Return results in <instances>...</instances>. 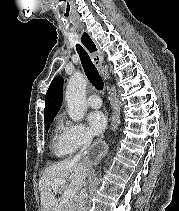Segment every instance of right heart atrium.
<instances>
[{"instance_id": "right-heart-atrium-1", "label": "right heart atrium", "mask_w": 179, "mask_h": 211, "mask_svg": "<svg viewBox=\"0 0 179 211\" xmlns=\"http://www.w3.org/2000/svg\"><path fill=\"white\" fill-rule=\"evenodd\" d=\"M63 137L72 151L87 146L92 141L91 133L83 124L68 120L63 125Z\"/></svg>"}]
</instances>
